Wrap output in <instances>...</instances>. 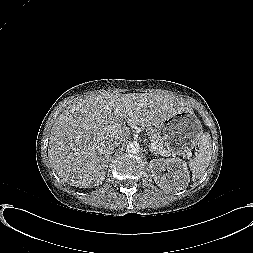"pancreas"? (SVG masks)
I'll use <instances>...</instances> for the list:
<instances>
[{
  "mask_svg": "<svg viewBox=\"0 0 253 253\" xmlns=\"http://www.w3.org/2000/svg\"><path fill=\"white\" fill-rule=\"evenodd\" d=\"M150 137L151 139L156 143L159 144L163 151L168 152L170 154V150H168L166 147H164L163 142L159 139L158 134L154 133L153 130L150 131Z\"/></svg>",
  "mask_w": 253,
  "mask_h": 253,
  "instance_id": "cf45deb5",
  "label": "pancreas"
}]
</instances>
